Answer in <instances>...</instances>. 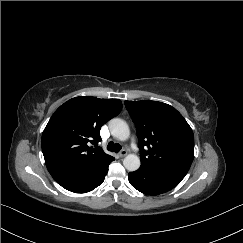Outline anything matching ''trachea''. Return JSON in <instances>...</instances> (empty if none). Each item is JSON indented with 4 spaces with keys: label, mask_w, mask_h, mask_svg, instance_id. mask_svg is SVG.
I'll return each mask as SVG.
<instances>
[{
    "label": "trachea",
    "mask_w": 243,
    "mask_h": 243,
    "mask_svg": "<svg viewBox=\"0 0 243 243\" xmlns=\"http://www.w3.org/2000/svg\"><path fill=\"white\" fill-rule=\"evenodd\" d=\"M107 149L112 152H119L121 150V145L109 142L107 145Z\"/></svg>",
    "instance_id": "3493384b"
}]
</instances>
